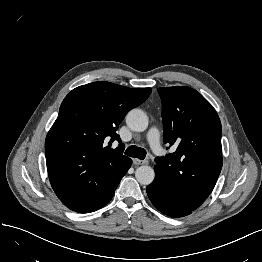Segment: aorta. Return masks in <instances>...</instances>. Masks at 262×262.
<instances>
[{
	"label": "aorta",
	"mask_w": 262,
	"mask_h": 262,
	"mask_svg": "<svg viewBox=\"0 0 262 262\" xmlns=\"http://www.w3.org/2000/svg\"><path fill=\"white\" fill-rule=\"evenodd\" d=\"M128 127L135 132H143L147 129L149 119L146 113L141 109H132L126 116ZM135 177L142 185H149L155 178L154 169L150 166H140L136 169Z\"/></svg>",
	"instance_id": "obj_1"
}]
</instances>
